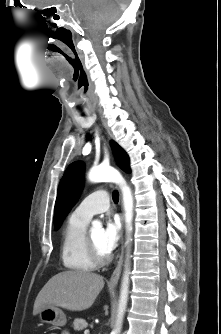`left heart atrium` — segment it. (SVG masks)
<instances>
[{
  "label": "left heart atrium",
  "instance_id": "1",
  "mask_svg": "<svg viewBox=\"0 0 221 334\" xmlns=\"http://www.w3.org/2000/svg\"><path fill=\"white\" fill-rule=\"evenodd\" d=\"M121 236V223L117 218H109L106 221L105 227L102 231V247L107 252H112Z\"/></svg>",
  "mask_w": 221,
  "mask_h": 334
}]
</instances>
